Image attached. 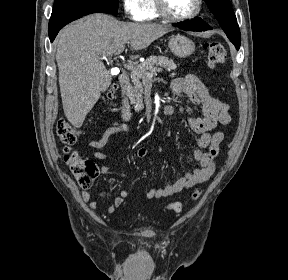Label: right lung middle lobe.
Here are the masks:
<instances>
[{
  "instance_id": "obj_1",
  "label": "right lung middle lobe",
  "mask_w": 288,
  "mask_h": 280,
  "mask_svg": "<svg viewBox=\"0 0 288 280\" xmlns=\"http://www.w3.org/2000/svg\"><path fill=\"white\" fill-rule=\"evenodd\" d=\"M118 2L119 0H55L52 13L76 4L82 3H92L100 5L108 10H110L114 15H117L118 12Z\"/></svg>"
}]
</instances>
